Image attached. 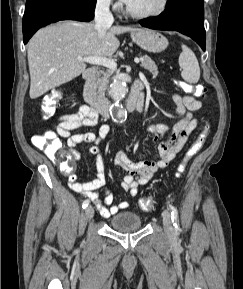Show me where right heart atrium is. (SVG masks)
<instances>
[{
    "mask_svg": "<svg viewBox=\"0 0 243 289\" xmlns=\"http://www.w3.org/2000/svg\"><path fill=\"white\" fill-rule=\"evenodd\" d=\"M97 3L104 8L117 9L119 7L118 2L115 0H97Z\"/></svg>",
    "mask_w": 243,
    "mask_h": 289,
    "instance_id": "d8ad5b80",
    "label": "right heart atrium"
}]
</instances>
